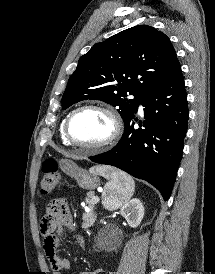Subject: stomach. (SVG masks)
Masks as SVG:
<instances>
[{
  "label": "stomach",
  "mask_w": 215,
  "mask_h": 274,
  "mask_svg": "<svg viewBox=\"0 0 215 274\" xmlns=\"http://www.w3.org/2000/svg\"><path fill=\"white\" fill-rule=\"evenodd\" d=\"M59 164L62 171L74 178L81 188L93 190L100 185V179L97 173L88 172L68 159L60 160Z\"/></svg>",
  "instance_id": "stomach-1"
}]
</instances>
